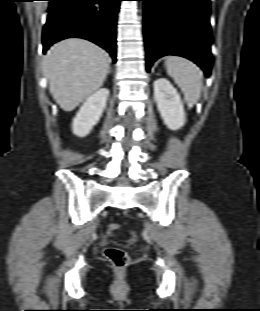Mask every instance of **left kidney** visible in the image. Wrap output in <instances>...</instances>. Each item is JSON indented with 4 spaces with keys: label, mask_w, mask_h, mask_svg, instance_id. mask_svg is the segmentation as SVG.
<instances>
[{
    "label": "left kidney",
    "mask_w": 260,
    "mask_h": 311,
    "mask_svg": "<svg viewBox=\"0 0 260 311\" xmlns=\"http://www.w3.org/2000/svg\"><path fill=\"white\" fill-rule=\"evenodd\" d=\"M154 99L165 125L171 130L184 126L186 115L180 95L165 78L154 81Z\"/></svg>",
    "instance_id": "left-kidney-1"
}]
</instances>
